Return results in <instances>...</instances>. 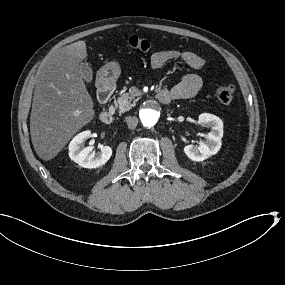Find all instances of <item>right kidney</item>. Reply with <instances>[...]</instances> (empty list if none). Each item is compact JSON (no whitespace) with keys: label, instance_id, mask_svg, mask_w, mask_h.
Segmentation results:
<instances>
[{"label":"right kidney","instance_id":"right-kidney-1","mask_svg":"<svg viewBox=\"0 0 285 285\" xmlns=\"http://www.w3.org/2000/svg\"><path fill=\"white\" fill-rule=\"evenodd\" d=\"M91 137L90 131H84L76 135L69 144V156L79 166L87 169H95L105 165L112 156V148L105 146L94 154L92 147H84L86 139Z\"/></svg>","mask_w":285,"mask_h":285}]
</instances>
